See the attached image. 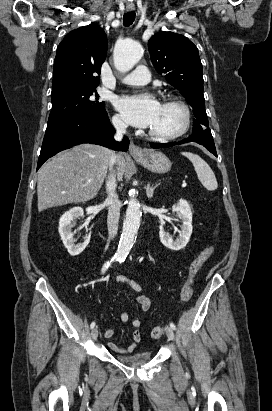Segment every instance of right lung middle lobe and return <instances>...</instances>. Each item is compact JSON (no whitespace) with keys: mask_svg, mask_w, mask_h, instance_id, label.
<instances>
[{"mask_svg":"<svg viewBox=\"0 0 272 411\" xmlns=\"http://www.w3.org/2000/svg\"><path fill=\"white\" fill-rule=\"evenodd\" d=\"M52 110L47 125L65 118L80 114H103L106 112L104 102L99 101L95 87H86L68 91L52 97Z\"/></svg>","mask_w":272,"mask_h":411,"instance_id":"1","label":"right lung middle lobe"}]
</instances>
